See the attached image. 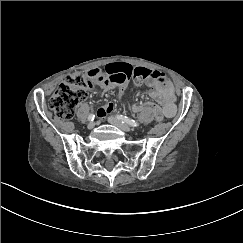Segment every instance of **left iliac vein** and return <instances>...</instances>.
Instances as JSON below:
<instances>
[{
  "label": "left iliac vein",
  "mask_w": 243,
  "mask_h": 243,
  "mask_svg": "<svg viewBox=\"0 0 243 243\" xmlns=\"http://www.w3.org/2000/svg\"><path fill=\"white\" fill-rule=\"evenodd\" d=\"M108 122L125 132H130L133 130L130 126L122 123L121 121L112 116L108 117Z\"/></svg>",
  "instance_id": "4c4485c4"
}]
</instances>
